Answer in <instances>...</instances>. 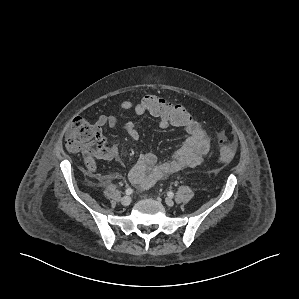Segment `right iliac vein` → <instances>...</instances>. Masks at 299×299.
Returning a JSON list of instances; mask_svg holds the SVG:
<instances>
[{"instance_id":"63e3f726","label":"right iliac vein","mask_w":299,"mask_h":299,"mask_svg":"<svg viewBox=\"0 0 299 299\" xmlns=\"http://www.w3.org/2000/svg\"><path fill=\"white\" fill-rule=\"evenodd\" d=\"M132 199L130 196H124L122 199H121V204L124 205V206H128L130 205Z\"/></svg>"}]
</instances>
